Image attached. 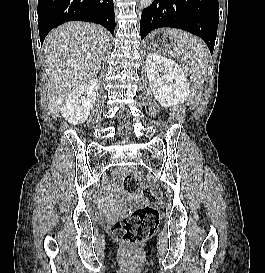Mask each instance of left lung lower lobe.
Wrapping results in <instances>:
<instances>
[{"label":"left lung lower lobe","mask_w":265,"mask_h":273,"mask_svg":"<svg viewBox=\"0 0 265 273\" xmlns=\"http://www.w3.org/2000/svg\"><path fill=\"white\" fill-rule=\"evenodd\" d=\"M218 21V0H154L142 12L140 35L161 27L183 29L201 37L212 54Z\"/></svg>","instance_id":"0a47b994"}]
</instances>
